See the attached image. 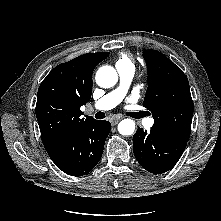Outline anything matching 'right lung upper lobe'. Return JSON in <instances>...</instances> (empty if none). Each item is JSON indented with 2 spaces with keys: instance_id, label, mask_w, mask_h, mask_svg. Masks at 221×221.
Wrapping results in <instances>:
<instances>
[{
  "instance_id": "1",
  "label": "right lung upper lobe",
  "mask_w": 221,
  "mask_h": 221,
  "mask_svg": "<svg viewBox=\"0 0 221 221\" xmlns=\"http://www.w3.org/2000/svg\"><path fill=\"white\" fill-rule=\"evenodd\" d=\"M108 55L83 54L56 66L42 81L35 111L45 149L95 120L82 118L80 107L91 98L93 70Z\"/></svg>"
}]
</instances>
